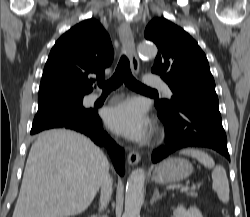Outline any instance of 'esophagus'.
Instances as JSON below:
<instances>
[{
    "label": "esophagus",
    "instance_id": "34e87169",
    "mask_svg": "<svg viewBox=\"0 0 250 217\" xmlns=\"http://www.w3.org/2000/svg\"><path fill=\"white\" fill-rule=\"evenodd\" d=\"M119 37L122 43L123 49L127 54L132 70L134 73L139 72V59L135 50L134 36L130 27V24L123 22L119 27ZM128 163L131 166L136 165L140 161V155L138 152L132 150L128 154Z\"/></svg>",
    "mask_w": 250,
    "mask_h": 217
}]
</instances>
